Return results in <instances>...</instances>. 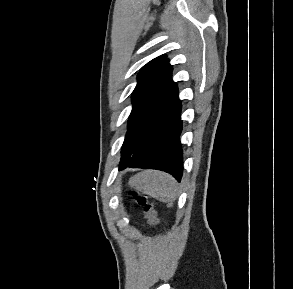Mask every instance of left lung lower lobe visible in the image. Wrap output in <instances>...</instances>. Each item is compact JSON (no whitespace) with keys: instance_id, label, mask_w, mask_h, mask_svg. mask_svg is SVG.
<instances>
[{"instance_id":"obj_1","label":"left lung lower lobe","mask_w":293,"mask_h":289,"mask_svg":"<svg viewBox=\"0 0 293 289\" xmlns=\"http://www.w3.org/2000/svg\"><path fill=\"white\" fill-rule=\"evenodd\" d=\"M180 111L176 86L128 128L124 145L132 155L119 170L128 167L157 169L180 181L183 172Z\"/></svg>"}]
</instances>
